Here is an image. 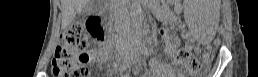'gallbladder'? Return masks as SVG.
Listing matches in <instances>:
<instances>
[{"label": "gallbladder", "mask_w": 258, "mask_h": 77, "mask_svg": "<svg viewBox=\"0 0 258 77\" xmlns=\"http://www.w3.org/2000/svg\"><path fill=\"white\" fill-rule=\"evenodd\" d=\"M94 5H95V3H94V4H93V3H92V4H90V8H92Z\"/></svg>", "instance_id": "obj_1"}]
</instances>
